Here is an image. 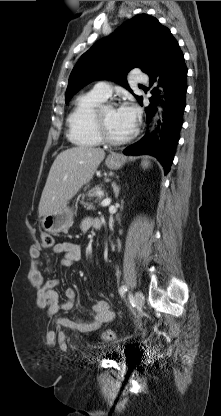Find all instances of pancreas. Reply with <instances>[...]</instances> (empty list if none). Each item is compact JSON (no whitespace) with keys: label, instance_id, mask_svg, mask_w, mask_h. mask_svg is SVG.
Returning a JSON list of instances; mask_svg holds the SVG:
<instances>
[{"label":"pancreas","instance_id":"1","mask_svg":"<svg viewBox=\"0 0 221 416\" xmlns=\"http://www.w3.org/2000/svg\"><path fill=\"white\" fill-rule=\"evenodd\" d=\"M99 192L101 191V187L100 186H95L94 188H92L91 190L88 191V193L86 194V196L89 197V200L92 199L93 197L96 198L95 202L100 201L103 197L104 194L99 195ZM84 198V196H83ZM84 207H86L88 210H92L95 209L94 205L92 203H88V202H81Z\"/></svg>","mask_w":221,"mask_h":416}]
</instances>
